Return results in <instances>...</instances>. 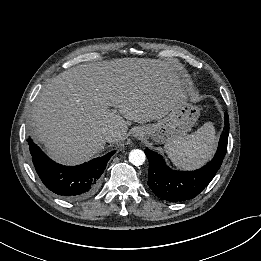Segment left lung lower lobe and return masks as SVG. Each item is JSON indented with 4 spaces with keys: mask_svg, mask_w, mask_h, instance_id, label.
Masks as SVG:
<instances>
[{
    "mask_svg": "<svg viewBox=\"0 0 261 261\" xmlns=\"http://www.w3.org/2000/svg\"><path fill=\"white\" fill-rule=\"evenodd\" d=\"M229 134V117L225 113V127L214 158L195 171L170 169L162 156L145 149L149 161L148 185L157 197L169 202H180L196 197L213 179L224 159Z\"/></svg>",
    "mask_w": 261,
    "mask_h": 261,
    "instance_id": "0a47b994",
    "label": "left lung lower lobe"
}]
</instances>
